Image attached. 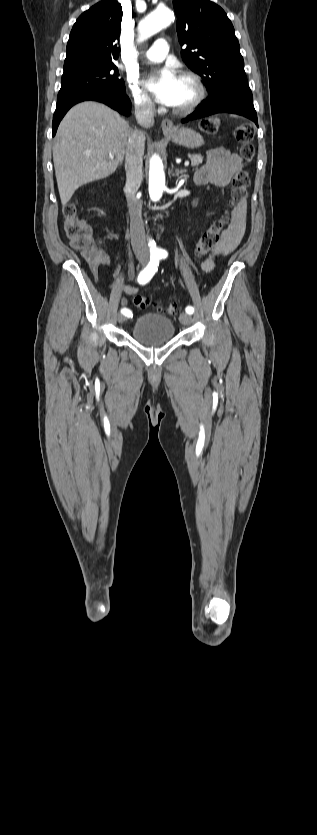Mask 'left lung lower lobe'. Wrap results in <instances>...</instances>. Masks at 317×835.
Returning <instances> with one entry per match:
<instances>
[{"label": "left lung lower lobe", "mask_w": 317, "mask_h": 835, "mask_svg": "<svg viewBox=\"0 0 317 835\" xmlns=\"http://www.w3.org/2000/svg\"><path fill=\"white\" fill-rule=\"evenodd\" d=\"M216 113H233L252 120L257 126V114L249 86H234L217 101L204 100L198 109L182 120L183 123Z\"/></svg>", "instance_id": "0a47b994"}]
</instances>
